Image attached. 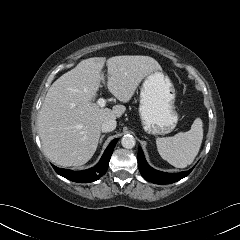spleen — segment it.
Segmentation results:
<instances>
[{
  "label": "spleen",
  "instance_id": "obj_1",
  "mask_svg": "<svg viewBox=\"0 0 240 240\" xmlns=\"http://www.w3.org/2000/svg\"><path fill=\"white\" fill-rule=\"evenodd\" d=\"M203 140V122L196 118L187 132H179L172 137L157 138L160 156L177 168L190 165L197 156Z\"/></svg>",
  "mask_w": 240,
  "mask_h": 240
}]
</instances>
